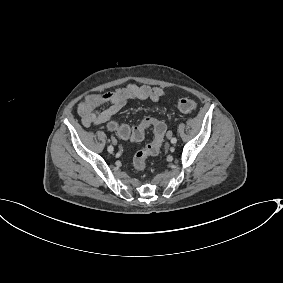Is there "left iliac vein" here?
<instances>
[{
    "instance_id": "obj_1",
    "label": "left iliac vein",
    "mask_w": 283,
    "mask_h": 283,
    "mask_svg": "<svg viewBox=\"0 0 283 283\" xmlns=\"http://www.w3.org/2000/svg\"><path fill=\"white\" fill-rule=\"evenodd\" d=\"M171 137H172V132L169 131V132L167 133V138H168V139H171Z\"/></svg>"
}]
</instances>
